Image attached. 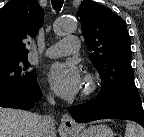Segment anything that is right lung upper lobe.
I'll use <instances>...</instances> for the list:
<instances>
[{
  "mask_svg": "<svg viewBox=\"0 0 144 137\" xmlns=\"http://www.w3.org/2000/svg\"><path fill=\"white\" fill-rule=\"evenodd\" d=\"M43 16L36 0H11L0 9V65L27 57L26 41L39 32Z\"/></svg>",
  "mask_w": 144,
  "mask_h": 137,
  "instance_id": "right-lung-upper-lobe-1",
  "label": "right lung upper lobe"
}]
</instances>
